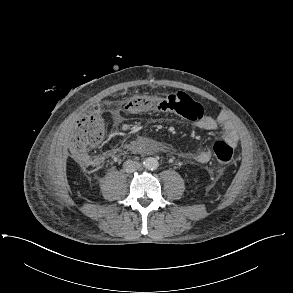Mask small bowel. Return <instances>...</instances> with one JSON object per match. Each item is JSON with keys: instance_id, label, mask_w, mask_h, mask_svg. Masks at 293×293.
Listing matches in <instances>:
<instances>
[{"instance_id": "c3829d8e", "label": "small bowel", "mask_w": 293, "mask_h": 293, "mask_svg": "<svg viewBox=\"0 0 293 293\" xmlns=\"http://www.w3.org/2000/svg\"><path fill=\"white\" fill-rule=\"evenodd\" d=\"M115 119L121 121V115L117 110L112 111ZM195 125L198 128L207 131H216L221 129L222 138L229 143L232 147H237L239 143V133L234 124L228 120L218 121L211 116L202 115L196 122ZM193 160L199 163H207L211 160L212 154L210 151L201 150L190 156ZM90 162V160H88Z\"/></svg>"}]
</instances>
